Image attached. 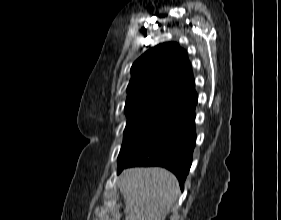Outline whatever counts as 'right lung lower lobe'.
<instances>
[{
  "label": "right lung lower lobe",
  "mask_w": 281,
  "mask_h": 220,
  "mask_svg": "<svg viewBox=\"0 0 281 220\" xmlns=\"http://www.w3.org/2000/svg\"><path fill=\"white\" fill-rule=\"evenodd\" d=\"M196 104L197 100L175 114L118 173L132 166H162L176 175L183 189L196 141Z\"/></svg>",
  "instance_id": "right-lung-lower-lobe-1"
}]
</instances>
